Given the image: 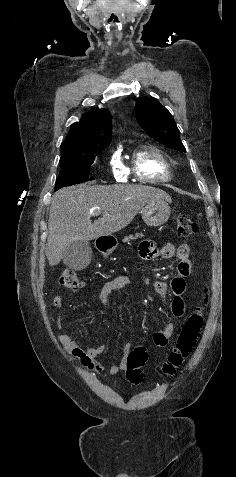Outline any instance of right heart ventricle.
<instances>
[{"label": "right heart ventricle", "instance_id": "e07e8e85", "mask_svg": "<svg viewBox=\"0 0 236 477\" xmlns=\"http://www.w3.org/2000/svg\"><path fill=\"white\" fill-rule=\"evenodd\" d=\"M128 171L143 183L167 182L172 177L169 163L161 151L153 146L137 151Z\"/></svg>", "mask_w": 236, "mask_h": 477}]
</instances>
